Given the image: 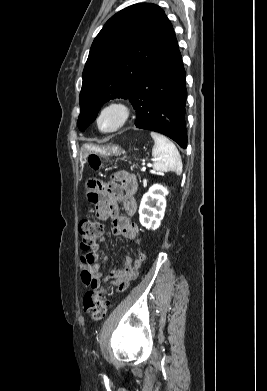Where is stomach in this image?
I'll return each instance as SVG.
<instances>
[{
	"label": "stomach",
	"mask_w": 267,
	"mask_h": 391,
	"mask_svg": "<svg viewBox=\"0 0 267 391\" xmlns=\"http://www.w3.org/2000/svg\"><path fill=\"white\" fill-rule=\"evenodd\" d=\"M96 153L101 156H110V155H121L122 150L118 145H112V146H99L94 144H85L81 149V163H85L86 158L92 154Z\"/></svg>",
	"instance_id": "obj_1"
}]
</instances>
